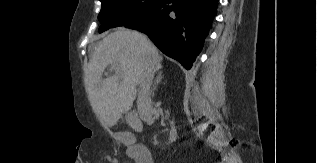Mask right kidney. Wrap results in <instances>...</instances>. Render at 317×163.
<instances>
[{
	"instance_id": "obj_1",
	"label": "right kidney",
	"mask_w": 317,
	"mask_h": 163,
	"mask_svg": "<svg viewBox=\"0 0 317 163\" xmlns=\"http://www.w3.org/2000/svg\"><path fill=\"white\" fill-rule=\"evenodd\" d=\"M171 125H172V130H171V135H170V142H174L177 138V132H176V129L174 127V123L173 121L171 122Z\"/></svg>"
}]
</instances>
